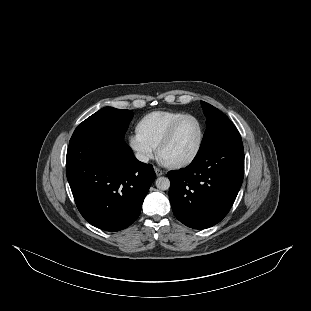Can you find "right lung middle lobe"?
Returning a JSON list of instances; mask_svg holds the SVG:
<instances>
[{
	"instance_id": "1",
	"label": "right lung middle lobe",
	"mask_w": 311,
	"mask_h": 311,
	"mask_svg": "<svg viewBox=\"0 0 311 311\" xmlns=\"http://www.w3.org/2000/svg\"><path fill=\"white\" fill-rule=\"evenodd\" d=\"M133 115L131 110L104 107L84 120L75 129L70 140L95 132L108 133L124 139Z\"/></svg>"
}]
</instances>
